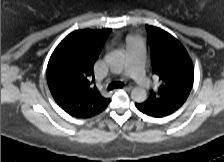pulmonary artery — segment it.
<instances>
[{
    "instance_id": "1",
    "label": "pulmonary artery",
    "mask_w": 224,
    "mask_h": 162,
    "mask_svg": "<svg viewBox=\"0 0 224 162\" xmlns=\"http://www.w3.org/2000/svg\"><path fill=\"white\" fill-rule=\"evenodd\" d=\"M127 55L124 74L134 79L140 87H147L150 84L149 78L144 70L143 43L136 39L127 45Z\"/></svg>"
}]
</instances>
